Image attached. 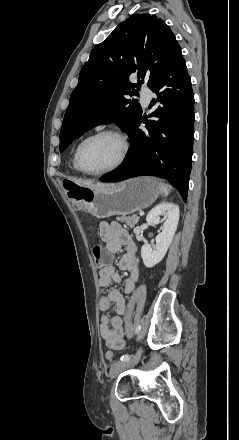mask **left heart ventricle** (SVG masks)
<instances>
[{"instance_id":"left-heart-ventricle-1","label":"left heart ventricle","mask_w":239,"mask_h":440,"mask_svg":"<svg viewBox=\"0 0 239 440\" xmlns=\"http://www.w3.org/2000/svg\"><path fill=\"white\" fill-rule=\"evenodd\" d=\"M121 154L119 140L110 135H103L88 141L81 151L82 167L89 172L111 168Z\"/></svg>"}]
</instances>
